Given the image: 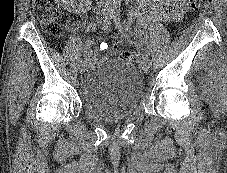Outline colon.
<instances>
[{
	"mask_svg": "<svg viewBox=\"0 0 227 173\" xmlns=\"http://www.w3.org/2000/svg\"><path fill=\"white\" fill-rule=\"evenodd\" d=\"M212 0H190L192 7L204 11L208 9ZM34 14L43 24L47 34L59 37L67 26V17L58 10L55 0H33ZM117 49V47H115ZM116 56L125 61L137 60V56L131 52L116 50Z\"/></svg>",
	"mask_w": 227,
	"mask_h": 173,
	"instance_id": "5ec220e1",
	"label": "colon"
}]
</instances>
